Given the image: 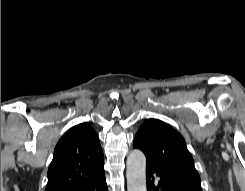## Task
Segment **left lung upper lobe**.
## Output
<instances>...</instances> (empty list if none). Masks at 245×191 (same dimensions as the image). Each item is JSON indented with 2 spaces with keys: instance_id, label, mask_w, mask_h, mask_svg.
Here are the masks:
<instances>
[{
  "instance_id": "5c2ea615",
  "label": "left lung upper lobe",
  "mask_w": 245,
  "mask_h": 191,
  "mask_svg": "<svg viewBox=\"0 0 245 191\" xmlns=\"http://www.w3.org/2000/svg\"><path fill=\"white\" fill-rule=\"evenodd\" d=\"M146 156V167L164 174L191 189L200 190V176L182 135L165 122L148 119L133 142Z\"/></svg>"
}]
</instances>
